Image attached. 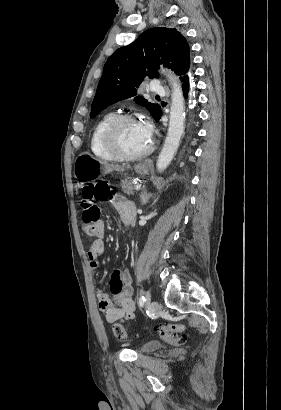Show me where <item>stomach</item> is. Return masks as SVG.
<instances>
[{
    "label": "stomach",
    "instance_id": "0dacf381",
    "mask_svg": "<svg viewBox=\"0 0 281 410\" xmlns=\"http://www.w3.org/2000/svg\"><path fill=\"white\" fill-rule=\"evenodd\" d=\"M113 170H120V168L92 155L82 153L74 161L73 174L80 184H85ZM134 170L140 175H146L149 172V166L146 162H140L134 166Z\"/></svg>",
    "mask_w": 281,
    "mask_h": 410
}]
</instances>
